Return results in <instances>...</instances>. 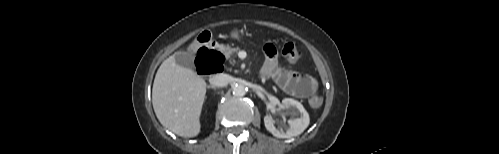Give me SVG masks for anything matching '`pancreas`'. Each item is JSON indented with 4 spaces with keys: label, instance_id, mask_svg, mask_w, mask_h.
<instances>
[{
    "label": "pancreas",
    "instance_id": "cf45deb5",
    "mask_svg": "<svg viewBox=\"0 0 499 154\" xmlns=\"http://www.w3.org/2000/svg\"><path fill=\"white\" fill-rule=\"evenodd\" d=\"M221 50L225 55L226 59H228L231 64L235 63V59L232 58V56L239 51V48H230L227 45V46H221Z\"/></svg>",
    "mask_w": 499,
    "mask_h": 154
}]
</instances>
